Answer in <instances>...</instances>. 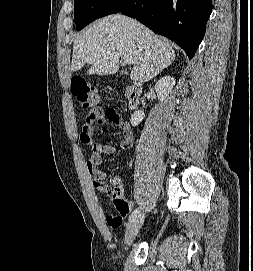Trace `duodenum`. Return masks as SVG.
I'll use <instances>...</instances> for the list:
<instances>
[{
    "mask_svg": "<svg viewBox=\"0 0 253 271\" xmlns=\"http://www.w3.org/2000/svg\"><path fill=\"white\" fill-rule=\"evenodd\" d=\"M142 91L141 83L134 82L126 89V98L129 109L137 107Z\"/></svg>",
    "mask_w": 253,
    "mask_h": 271,
    "instance_id": "410a0bca",
    "label": "duodenum"
}]
</instances>
